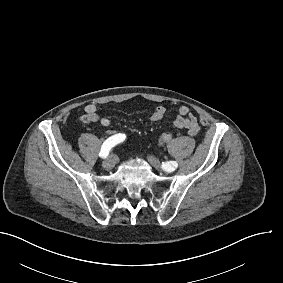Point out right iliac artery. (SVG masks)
Masks as SVG:
<instances>
[{
  "mask_svg": "<svg viewBox=\"0 0 283 283\" xmlns=\"http://www.w3.org/2000/svg\"><path fill=\"white\" fill-rule=\"evenodd\" d=\"M126 138L125 134H116L111 137H109L102 145L101 151L99 153V156L102 158H106L109 154V151L111 148L119 144L120 142H123Z\"/></svg>",
  "mask_w": 283,
  "mask_h": 283,
  "instance_id": "1",
  "label": "right iliac artery"
}]
</instances>
